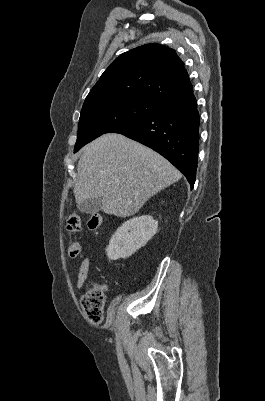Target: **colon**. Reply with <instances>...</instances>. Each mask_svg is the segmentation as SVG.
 Here are the masks:
<instances>
[{
  "instance_id": "5ec220e1",
  "label": "colon",
  "mask_w": 265,
  "mask_h": 401,
  "mask_svg": "<svg viewBox=\"0 0 265 401\" xmlns=\"http://www.w3.org/2000/svg\"><path fill=\"white\" fill-rule=\"evenodd\" d=\"M102 216L99 213L90 214L87 225L91 230L100 227ZM66 229L76 235L81 230V216L78 213H71L66 221ZM69 256L72 258L80 254V245L77 241H72L68 247ZM106 285L94 284L81 299V305L86 319L92 324H99L103 319L105 306Z\"/></svg>"
}]
</instances>
